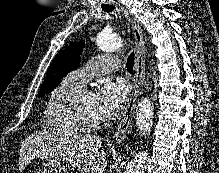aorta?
Wrapping results in <instances>:
<instances>
[{
    "label": "aorta",
    "instance_id": "1",
    "mask_svg": "<svg viewBox=\"0 0 219 173\" xmlns=\"http://www.w3.org/2000/svg\"><path fill=\"white\" fill-rule=\"evenodd\" d=\"M97 46L104 52H114L123 48L124 43L120 36L114 33L101 32L96 39ZM153 106L148 98L142 99L135 112V121L143 134H148L152 127ZM148 162V152L141 151L128 163L124 173H144Z\"/></svg>",
    "mask_w": 219,
    "mask_h": 173
}]
</instances>
